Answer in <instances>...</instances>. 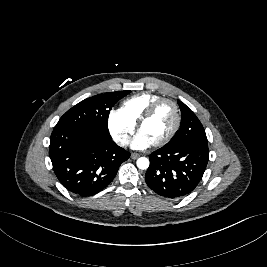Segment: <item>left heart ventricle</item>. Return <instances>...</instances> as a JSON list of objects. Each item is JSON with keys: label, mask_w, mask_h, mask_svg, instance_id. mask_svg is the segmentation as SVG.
Here are the masks:
<instances>
[{"label": "left heart ventricle", "mask_w": 267, "mask_h": 267, "mask_svg": "<svg viewBox=\"0 0 267 267\" xmlns=\"http://www.w3.org/2000/svg\"><path fill=\"white\" fill-rule=\"evenodd\" d=\"M175 121L174 110L168 103L162 104L154 115L141 127L144 134L153 143L163 139L172 129Z\"/></svg>", "instance_id": "b2bd125f"}]
</instances>
